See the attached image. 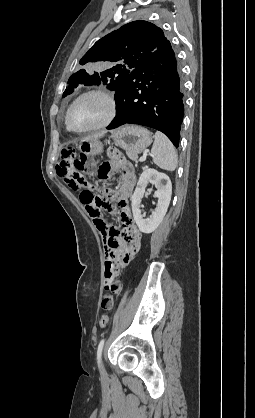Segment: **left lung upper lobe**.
I'll return each mask as SVG.
<instances>
[{
    "label": "left lung upper lobe",
    "instance_id": "5c2ea615",
    "mask_svg": "<svg viewBox=\"0 0 255 418\" xmlns=\"http://www.w3.org/2000/svg\"><path fill=\"white\" fill-rule=\"evenodd\" d=\"M169 41L162 29L139 20L128 23L98 40L80 60L81 65L96 67L81 69L68 80L63 97L80 84H103L118 91L128 75Z\"/></svg>",
    "mask_w": 255,
    "mask_h": 418
}]
</instances>
